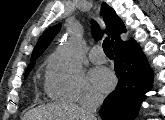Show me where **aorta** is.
<instances>
[{"mask_svg":"<svg viewBox=\"0 0 165 120\" xmlns=\"http://www.w3.org/2000/svg\"><path fill=\"white\" fill-rule=\"evenodd\" d=\"M60 57L69 69L74 70L80 66L82 60V37L78 24L73 26L69 36L62 44Z\"/></svg>","mask_w":165,"mask_h":120,"instance_id":"1","label":"aorta"}]
</instances>
